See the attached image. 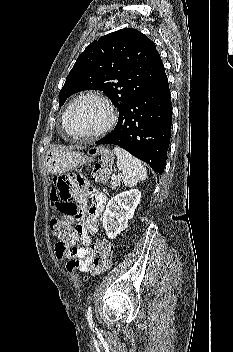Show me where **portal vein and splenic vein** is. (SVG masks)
Returning <instances> with one entry per match:
<instances>
[{"instance_id":"18ae733b","label":"portal vein and splenic vein","mask_w":233,"mask_h":352,"mask_svg":"<svg viewBox=\"0 0 233 352\" xmlns=\"http://www.w3.org/2000/svg\"><path fill=\"white\" fill-rule=\"evenodd\" d=\"M116 178H117V177H116V175H115V174H113V175H112V177H111V179H112L113 181H115V180H116Z\"/></svg>"}]
</instances>
